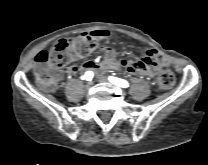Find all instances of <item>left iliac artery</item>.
Wrapping results in <instances>:
<instances>
[{
    "instance_id": "obj_1",
    "label": "left iliac artery",
    "mask_w": 208,
    "mask_h": 165,
    "mask_svg": "<svg viewBox=\"0 0 208 165\" xmlns=\"http://www.w3.org/2000/svg\"><path fill=\"white\" fill-rule=\"evenodd\" d=\"M109 80L110 82H112L113 84L117 85V86H120V87H123V88H126L129 86L128 82L123 80V79H120V78H117V77H112L110 76L109 77Z\"/></svg>"
}]
</instances>
